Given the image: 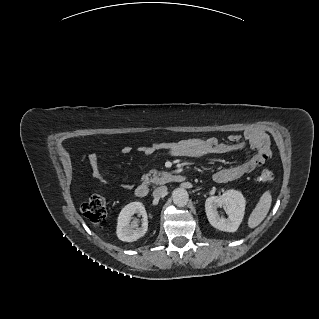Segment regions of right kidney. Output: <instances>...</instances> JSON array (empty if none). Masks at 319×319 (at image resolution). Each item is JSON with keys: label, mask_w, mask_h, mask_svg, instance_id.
Instances as JSON below:
<instances>
[{"label": "right kidney", "mask_w": 319, "mask_h": 319, "mask_svg": "<svg viewBox=\"0 0 319 319\" xmlns=\"http://www.w3.org/2000/svg\"><path fill=\"white\" fill-rule=\"evenodd\" d=\"M142 215V225L138 226L136 220L132 221L134 214ZM148 229L145 207L141 202L135 201L127 204L119 213L117 219V237L124 242H133L144 236Z\"/></svg>", "instance_id": "obj_1"}]
</instances>
